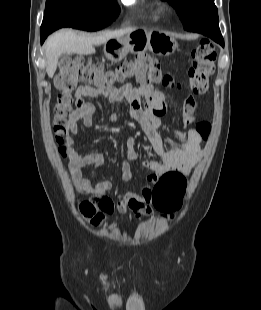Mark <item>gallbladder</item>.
Listing matches in <instances>:
<instances>
[{"mask_svg":"<svg viewBox=\"0 0 261 310\" xmlns=\"http://www.w3.org/2000/svg\"><path fill=\"white\" fill-rule=\"evenodd\" d=\"M62 59H70V56L68 54H63Z\"/></svg>","mask_w":261,"mask_h":310,"instance_id":"obj_1","label":"gallbladder"}]
</instances>
